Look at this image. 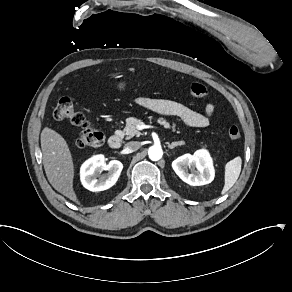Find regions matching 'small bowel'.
<instances>
[{
  "label": "small bowel",
  "mask_w": 292,
  "mask_h": 292,
  "mask_svg": "<svg viewBox=\"0 0 292 292\" xmlns=\"http://www.w3.org/2000/svg\"><path fill=\"white\" fill-rule=\"evenodd\" d=\"M136 104L159 114L175 116L191 127L202 128L209 124L214 114V105L207 103L203 112H197L181 103L151 97H138Z\"/></svg>",
  "instance_id": "small-bowel-1"
}]
</instances>
